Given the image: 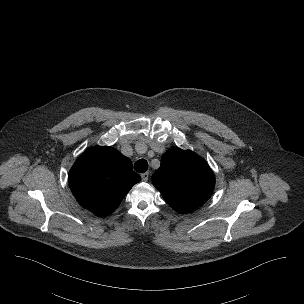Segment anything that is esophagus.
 Returning <instances> with one entry per match:
<instances>
[{"instance_id":"34e87169","label":"esophagus","mask_w":304,"mask_h":304,"mask_svg":"<svg viewBox=\"0 0 304 304\" xmlns=\"http://www.w3.org/2000/svg\"><path fill=\"white\" fill-rule=\"evenodd\" d=\"M141 178H142L143 182H147L148 178H149V173L146 172V173L141 174Z\"/></svg>"}]
</instances>
